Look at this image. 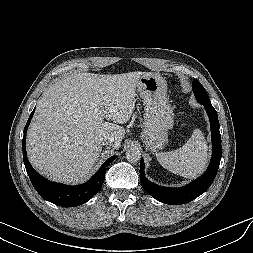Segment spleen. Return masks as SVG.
<instances>
[{
  "label": "spleen",
  "instance_id": "3e777b00",
  "mask_svg": "<svg viewBox=\"0 0 253 253\" xmlns=\"http://www.w3.org/2000/svg\"><path fill=\"white\" fill-rule=\"evenodd\" d=\"M159 163L170 172L185 178H195L208 162V146L200 129H195L181 148L156 154Z\"/></svg>",
  "mask_w": 253,
  "mask_h": 253
}]
</instances>
